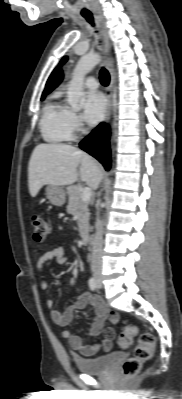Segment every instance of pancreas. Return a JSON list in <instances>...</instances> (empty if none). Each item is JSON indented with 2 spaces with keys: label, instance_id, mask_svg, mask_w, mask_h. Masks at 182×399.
<instances>
[{
  "label": "pancreas",
  "instance_id": "pancreas-1",
  "mask_svg": "<svg viewBox=\"0 0 182 399\" xmlns=\"http://www.w3.org/2000/svg\"><path fill=\"white\" fill-rule=\"evenodd\" d=\"M69 202L67 212L74 216L79 227L80 236H84L89 230V209L88 201L81 199V191L77 186H70L67 188Z\"/></svg>",
  "mask_w": 182,
  "mask_h": 399
}]
</instances>
